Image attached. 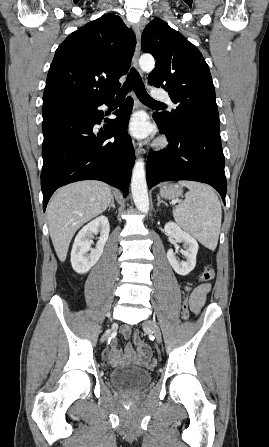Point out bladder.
Returning <instances> with one entry per match:
<instances>
[{
  "label": "bladder",
  "instance_id": "31cf9c89",
  "mask_svg": "<svg viewBox=\"0 0 269 447\" xmlns=\"http://www.w3.org/2000/svg\"><path fill=\"white\" fill-rule=\"evenodd\" d=\"M108 377L112 386L118 390L137 393L150 385L152 374L144 368L123 366L111 370Z\"/></svg>",
  "mask_w": 269,
  "mask_h": 447
}]
</instances>
